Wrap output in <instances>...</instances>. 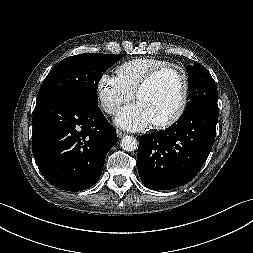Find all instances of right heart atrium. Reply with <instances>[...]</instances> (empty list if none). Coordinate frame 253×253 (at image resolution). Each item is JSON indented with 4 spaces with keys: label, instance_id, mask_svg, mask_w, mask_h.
I'll list each match as a JSON object with an SVG mask.
<instances>
[{
    "label": "right heart atrium",
    "instance_id": "d8ad5b80",
    "mask_svg": "<svg viewBox=\"0 0 253 253\" xmlns=\"http://www.w3.org/2000/svg\"><path fill=\"white\" fill-rule=\"evenodd\" d=\"M97 90L100 104L108 114H115L123 104L133 98V94L115 76L109 74L100 77Z\"/></svg>",
    "mask_w": 253,
    "mask_h": 253
}]
</instances>
